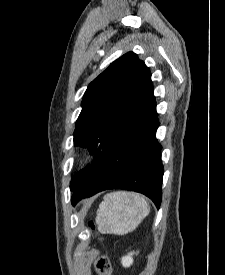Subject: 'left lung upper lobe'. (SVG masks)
<instances>
[{"label":"left lung upper lobe","instance_id":"1","mask_svg":"<svg viewBox=\"0 0 225 275\" xmlns=\"http://www.w3.org/2000/svg\"><path fill=\"white\" fill-rule=\"evenodd\" d=\"M151 73L133 52L115 60L88 86L76 121L74 145L96 157L91 168L74 176L73 191L139 118L155 103Z\"/></svg>","mask_w":225,"mask_h":275}]
</instances>
